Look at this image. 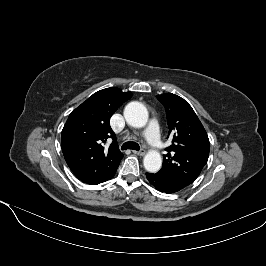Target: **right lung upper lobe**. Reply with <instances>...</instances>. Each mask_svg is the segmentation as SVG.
Instances as JSON below:
<instances>
[{"label": "right lung upper lobe", "instance_id": "cb5924a9", "mask_svg": "<svg viewBox=\"0 0 266 266\" xmlns=\"http://www.w3.org/2000/svg\"><path fill=\"white\" fill-rule=\"evenodd\" d=\"M131 97V92L106 88L70 113L62 130L61 147L68 166L82 182L96 185L116 172L123 153L110 127V118ZM108 138L113 142L104 149Z\"/></svg>", "mask_w": 266, "mask_h": 266}]
</instances>
